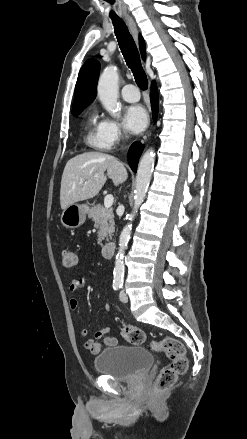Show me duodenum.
I'll use <instances>...</instances> for the list:
<instances>
[{"label":"duodenum","mask_w":247,"mask_h":439,"mask_svg":"<svg viewBox=\"0 0 247 439\" xmlns=\"http://www.w3.org/2000/svg\"><path fill=\"white\" fill-rule=\"evenodd\" d=\"M101 252L105 258L112 257L114 252H115V244L113 242H108V243L104 244Z\"/></svg>","instance_id":"duodenum-1"}]
</instances>
